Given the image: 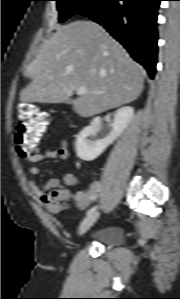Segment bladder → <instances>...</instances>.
Returning <instances> with one entry per match:
<instances>
[{"label": "bladder", "mask_w": 180, "mask_h": 299, "mask_svg": "<svg viewBox=\"0 0 180 299\" xmlns=\"http://www.w3.org/2000/svg\"><path fill=\"white\" fill-rule=\"evenodd\" d=\"M122 237V229L116 225L102 226L90 236L92 241L108 246H116L120 244Z\"/></svg>", "instance_id": "31cf9c89"}]
</instances>
